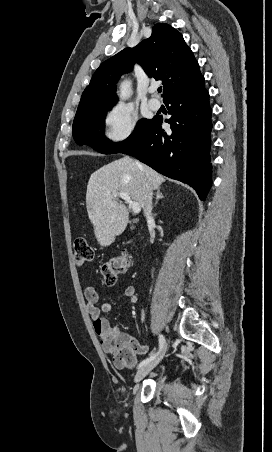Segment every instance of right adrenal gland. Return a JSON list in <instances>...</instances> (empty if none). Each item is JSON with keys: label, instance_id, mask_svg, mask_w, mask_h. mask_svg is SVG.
Wrapping results in <instances>:
<instances>
[{"label": "right adrenal gland", "instance_id": "obj_1", "mask_svg": "<svg viewBox=\"0 0 272 452\" xmlns=\"http://www.w3.org/2000/svg\"><path fill=\"white\" fill-rule=\"evenodd\" d=\"M164 198L163 194L160 191V188L157 189L156 191V201L154 203V206L156 207V205L158 204L159 199Z\"/></svg>", "mask_w": 272, "mask_h": 452}]
</instances>
